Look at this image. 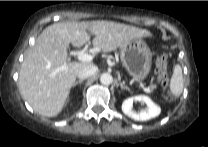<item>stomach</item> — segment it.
I'll return each instance as SVG.
<instances>
[{"mask_svg": "<svg viewBox=\"0 0 208 147\" xmlns=\"http://www.w3.org/2000/svg\"><path fill=\"white\" fill-rule=\"evenodd\" d=\"M151 51L146 43L134 39L121 47V61L128 73L135 79L142 81L151 69Z\"/></svg>", "mask_w": 208, "mask_h": 147, "instance_id": "obj_1", "label": "stomach"}]
</instances>
